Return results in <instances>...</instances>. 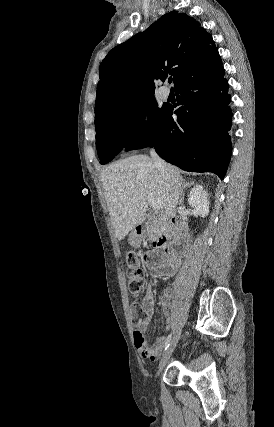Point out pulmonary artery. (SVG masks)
<instances>
[{
	"label": "pulmonary artery",
	"instance_id": "pulmonary-artery-1",
	"mask_svg": "<svg viewBox=\"0 0 274 427\" xmlns=\"http://www.w3.org/2000/svg\"><path fill=\"white\" fill-rule=\"evenodd\" d=\"M170 96V89L167 86H162L160 88V98L162 100H167Z\"/></svg>",
	"mask_w": 274,
	"mask_h": 427
}]
</instances>
